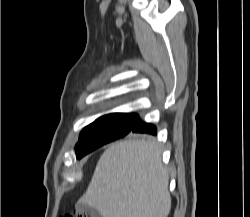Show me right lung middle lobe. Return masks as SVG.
Segmentation results:
<instances>
[{
	"label": "right lung middle lobe",
	"instance_id": "right-lung-middle-lobe-1",
	"mask_svg": "<svg viewBox=\"0 0 250 217\" xmlns=\"http://www.w3.org/2000/svg\"><path fill=\"white\" fill-rule=\"evenodd\" d=\"M137 119L138 115L125 113H113L98 118L82 130L76 145L77 158L129 134Z\"/></svg>",
	"mask_w": 250,
	"mask_h": 217
}]
</instances>
